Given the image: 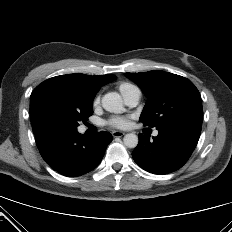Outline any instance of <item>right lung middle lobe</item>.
I'll return each mask as SVG.
<instances>
[{"label": "right lung middle lobe", "mask_w": 232, "mask_h": 232, "mask_svg": "<svg viewBox=\"0 0 232 232\" xmlns=\"http://www.w3.org/2000/svg\"><path fill=\"white\" fill-rule=\"evenodd\" d=\"M81 83L66 79H48L30 96L33 132L50 129L76 130L79 121L93 114V98Z\"/></svg>", "instance_id": "dd1d6c3e"}]
</instances>
